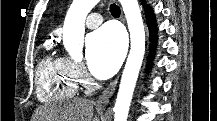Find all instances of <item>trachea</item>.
<instances>
[{
	"instance_id": "1",
	"label": "trachea",
	"mask_w": 217,
	"mask_h": 121,
	"mask_svg": "<svg viewBox=\"0 0 217 121\" xmlns=\"http://www.w3.org/2000/svg\"><path fill=\"white\" fill-rule=\"evenodd\" d=\"M110 12L113 16H119L121 13V10L116 4H111L110 5Z\"/></svg>"
}]
</instances>
